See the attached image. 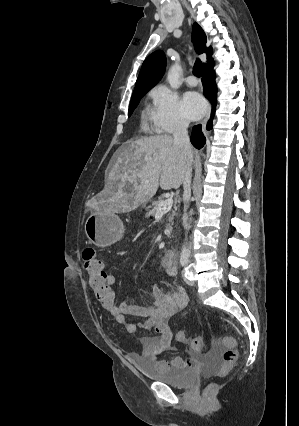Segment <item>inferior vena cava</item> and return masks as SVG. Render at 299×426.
I'll use <instances>...</instances> for the list:
<instances>
[{"mask_svg": "<svg viewBox=\"0 0 299 426\" xmlns=\"http://www.w3.org/2000/svg\"><path fill=\"white\" fill-rule=\"evenodd\" d=\"M189 127V121L186 119L181 120L174 133H173V138H174V142L177 143L178 145H180L185 154H189V152L191 151V145H190V140H189V136H188V132L187 129ZM191 160H187L186 162V169H185V175H184V180H183V201H184V213L182 216V221H183V227L184 229L188 228V214H187V207H188V203L191 197V178H192V168H191Z\"/></svg>", "mask_w": 299, "mask_h": 426, "instance_id": "obj_1", "label": "inferior vena cava"}]
</instances>
